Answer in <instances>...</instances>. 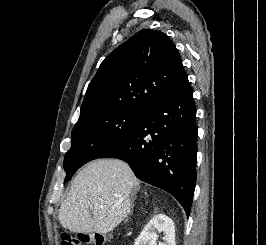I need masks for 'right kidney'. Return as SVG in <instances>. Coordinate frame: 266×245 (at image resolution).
Here are the masks:
<instances>
[{
    "instance_id": "1",
    "label": "right kidney",
    "mask_w": 266,
    "mask_h": 245,
    "mask_svg": "<svg viewBox=\"0 0 266 245\" xmlns=\"http://www.w3.org/2000/svg\"><path fill=\"white\" fill-rule=\"evenodd\" d=\"M157 233H164L163 241L159 245H175V227L172 219L167 215H155L142 233L135 239L134 245H157Z\"/></svg>"
}]
</instances>
